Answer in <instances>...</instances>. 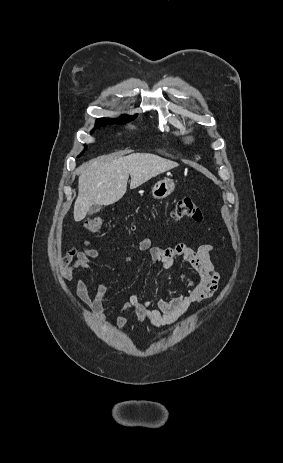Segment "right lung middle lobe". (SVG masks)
Returning a JSON list of instances; mask_svg holds the SVG:
<instances>
[{
  "instance_id": "1",
  "label": "right lung middle lobe",
  "mask_w": 283,
  "mask_h": 463,
  "mask_svg": "<svg viewBox=\"0 0 283 463\" xmlns=\"http://www.w3.org/2000/svg\"><path fill=\"white\" fill-rule=\"evenodd\" d=\"M137 117V115H134V116H127V115H124L122 116L121 118L119 119H109V118H99L97 121H96V126L95 128H98L100 126H105V125H108V124H112V123H118V124H125V123H128L129 121L135 119ZM82 154V153H81ZM80 154V155H81ZM79 155V156H80ZM78 156V157H79Z\"/></svg>"
}]
</instances>
